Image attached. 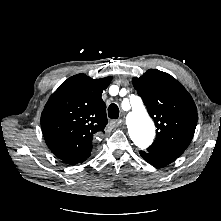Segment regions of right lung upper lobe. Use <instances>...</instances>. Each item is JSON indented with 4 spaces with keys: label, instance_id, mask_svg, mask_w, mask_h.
Segmentation results:
<instances>
[{
    "label": "right lung upper lobe",
    "instance_id": "cb5924a9",
    "mask_svg": "<svg viewBox=\"0 0 221 221\" xmlns=\"http://www.w3.org/2000/svg\"><path fill=\"white\" fill-rule=\"evenodd\" d=\"M111 77L94 80L85 74L68 78L51 95L41 115L49 149L68 164L86 160L92 143L104 133L106 105L101 95Z\"/></svg>",
    "mask_w": 221,
    "mask_h": 221
}]
</instances>
